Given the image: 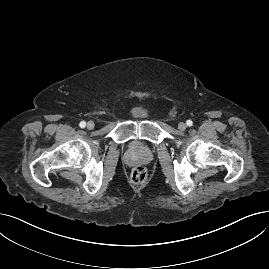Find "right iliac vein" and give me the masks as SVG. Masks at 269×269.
<instances>
[{"label": "right iliac vein", "mask_w": 269, "mask_h": 269, "mask_svg": "<svg viewBox=\"0 0 269 269\" xmlns=\"http://www.w3.org/2000/svg\"><path fill=\"white\" fill-rule=\"evenodd\" d=\"M94 126H95V123H94L93 121H89V122L87 123V128H88L89 130L93 129Z\"/></svg>", "instance_id": "obj_1"}]
</instances>
